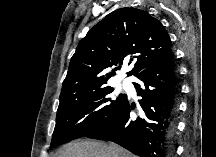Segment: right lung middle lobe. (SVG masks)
Here are the masks:
<instances>
[{
    "label": "right lung middle lobe",
    "mask_w": 216,
    "mask_h": 157,
    "mask_svg": "<svg viewBox=\"0 0 216 157\" xmlns=\"http://www.w3.org/2000/svg\"><path fill=\"white\" fill-rule=\"evenodd\" d=\"M126 101L125 94L117 97L110 86L60 99L51 147L97 131L115 117Z\"/></svg>",
    "instance_id": "obj_1"
}]
</instances>
